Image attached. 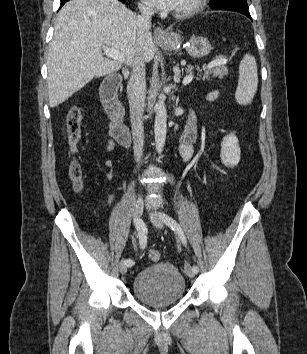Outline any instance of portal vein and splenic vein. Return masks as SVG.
I'll return each mask as SVG.
<instances>
[{
  "label": "portal vein and splenic vein",
  "instance_id": "18ae733b",
  "mask_svg": "<svg viewBox=\"0 0 307 354\" xmlns=\"http://www.w3.org/2000/svg\"><path fill=\"white\" fill-rule=\"evenodd\" d=\"M103 51H104V54L111 58V59H114V60H123V55L121 54V52L117 49H114V48H110V47H103ZM227 63V60L226 59H220V60H217V61H213L210 66H216V65H220V64H225ZM175 81H179V77L176 76L174 78ZM193 80V75L192 74H189L187 76L184 77L182 83L183 85H187L189 84L191 81Z\"/></svg>",
  "mask_w": 307,
  "mask_h": 354
}]
</instances>
